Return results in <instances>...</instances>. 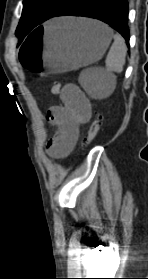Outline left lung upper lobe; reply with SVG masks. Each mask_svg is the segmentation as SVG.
<instances>
[{"label":"left lung upper lobe","instance_id":"left-lung-upper-lobe-1","mask_svg":"<svg viewBox=\"0 0 148 279\" xmlns=\"http://www.w3.org/2000/svg\"><path fill=\"white\" fill-rule=\"evenodd\" d=\"M67 0H24L22 16L16 29V36L22 41L26 35L36 29Z\"/></svg>","mask_w":148,"mask_h":279}]
</instances>
